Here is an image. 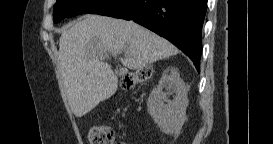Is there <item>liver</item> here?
Returning a JSON list of instances; mask_svg holds the SVG:
<instances>
[{
	"label": "liver",
	"instance_id": "liver-1",
	"mask_svg": "<svg viewBox=\"0 0 273 144\" xmlns=\"http://www.w3.org/2000/svg\"><path fill=\"white\" fill-rule=\"evenodd\" d=\"M124 54V67L137 70L178 53L169 41L133 21L86 15L67 26L59 39V70L68 103L82 117L117 90L118 78L104 62Z\"/></svg>",
	"mask_w": 273,
	"mask_h": 144
}]
</instances>
